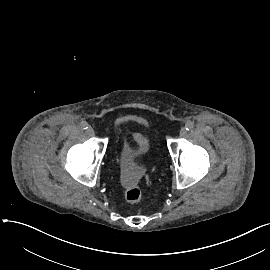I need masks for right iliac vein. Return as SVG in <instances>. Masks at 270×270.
I'll return each instance as SVG.
<instances>
[{
	"label": "right iliac vein",
	"instance_id": "right-iliac-vein-1",
	"mask_svg": "<svg viewBox=\"0 0 270 270\" xmlns=\"http://www.w3.org/2000/svg\"><path fill=\"white\" fill-rule=\"evenodd\" d=\"M87 133H88V135H90V136H94L95 131H94L93 128L89 127V128L87 129Z\"/></svg>",
	"mask_w": 270,
	"mask_h": 270
}]
</instances>
